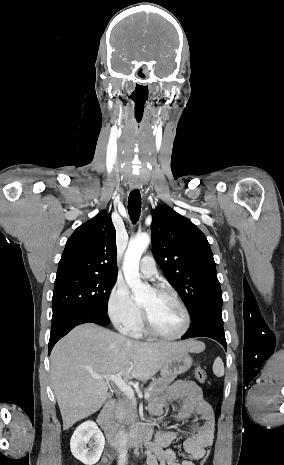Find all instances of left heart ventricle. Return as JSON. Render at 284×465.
I'll return each mask as SVG.
<instances>
[{
  "mask_svg": "<svg viewBox=\"0 0 284 465\" xmlns=\"http://www.w3.org/2000/svg\"><path fill=\"white\" fill-rule=\"evenodd\" d=\"M140 306L150 317L149 323L157 334L173 336L182 330L183 313L171 300L153 292Z\"/></svg>",
  "mask_w": 284,
  "mask_h": 465,
  "instance_id": "b2bd125f",
  "label": "left heart ventricle"
}]
</instances>
